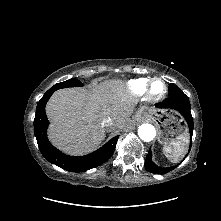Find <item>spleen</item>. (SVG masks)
Listing matches in <instances>:
<instances>
[{"label": "spleen", "mask_w": 221, "mask_h": 221, "mask_svg": "<svg viewBox=\"0 0 221 221\" xmlns=\"http://www.w3.org/2000/svg\"><path fill=\"white\" fill-rule=\"evenodd\" d=\"M189 143L187 133L176 137L169 145L163 147V153L172 162H177L186 153Z\"/></svg>", "instance_id": "spleen-1"}]
</instances>
